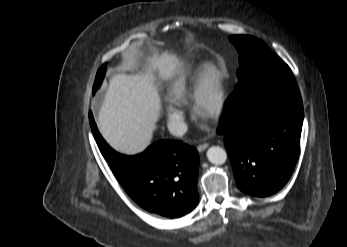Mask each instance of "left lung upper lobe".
<instances>
[{
	"mask_svg": "<svg viewBox=\"0 0 347 247\" xmlns=\"http://www.w3.org/2000/svg\"><path fill=\"white\" fill-rule=\"evenodd\" d=\"M229 39L239 53L240 69L237 71V75L241 80L247 79L259 68L282 61L262 40L253 36L235 35ZM242 84L243 82H240L236 88Z\"/></svg>",
	"mask_w": 347,
	"mask_h": 247,
	"instance_id": "left-lung-upper-lobe-1",
	"label": "left lung upper lobe"
}]
</instances>
